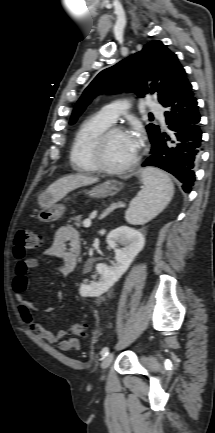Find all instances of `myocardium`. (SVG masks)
Instances as JSON below:
<instances>
[{
    "label": "myocardium",
    "instance_id": "f54148a6",
    "mask_svg": "<svg viewBox=\"0 0 215 433\" xmlns=\"http://www.w3.org/2000/svg\"><path fill=\"white\" fill-rule=\"evenodd\" d=\"M115 133H126V130L121 126L111 125L97 136L92 146V160L99 171L109 174H123L133 170L138 165L141 153L139 148L133 160L124 166H109L104 159V151L107 141Z\"/></svg>",
    "mask_w": 215,
    "mask_h": 433
}]
</instances>
